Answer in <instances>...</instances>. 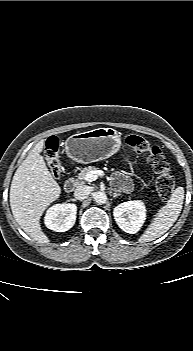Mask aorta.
I'll list each match as a JSON object with an SVG mask.
<instances>
[{"instance_id": "obj_1", "label": "aorta", "mask_w": 193, "mask_h": 351, "mask_svg": "<svg viewBox=\"0 0 193 351\" xmlns=\"http://www.w3.org/2000/svg\"><path fill=\"white\" fill-rule=\"evenodd\" d=\"M93 198H94V201L100 205L106 203L107 201V195L105 192H102V191L95 192L93 195Z\"/></svg>"}]
</instances>
